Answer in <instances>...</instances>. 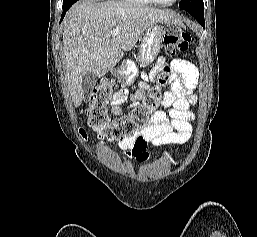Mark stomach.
I'll use <instances>...</instances> for the list:
<instances>
[{
    "label": "stomach",
    "mask_w": 257,
    "mask_h": 237,
    "mask_svg": "<svg viewBox=\"0 0 257 237\" xmlns=\"http://www.w3.org/2000/svg\"><path fill=\"white\" fill-rule=\"evenodd\" d=\"M165 35V27L153 23L143 33L140 39L139 60L143 65L151 64L158 55ZM125 84L133 83L137 76V67L133 61H125L118 70Z\"/></svg>",
    "instance_id": "1"
}]
</instances>
